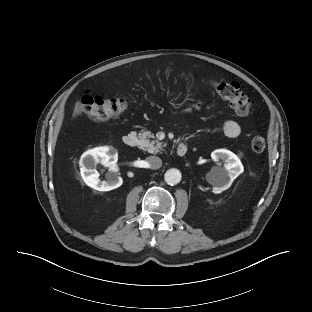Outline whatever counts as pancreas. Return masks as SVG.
Returning a JSON list of instances; mask_svg holds the SVG:
<instances>
[{"label":"pancreas","instance_id":"obj_1","mask_svg":"<svg viewBox=\"0 0 312 312\" xmlns=\"http://www.w3.org/2000/svg\"><path fill=\"white\" fill-rule=\"evenodd\" d=\"M138 137L140 139V148L152 154L160 153L163 151V147L166 146V144L158 140L150 141L149 138H154V135L150 131L139 133Z\"/></svg>","mask_w":312,"mask_h":312}]
</instances>
